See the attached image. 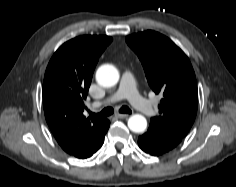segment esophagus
I'll return each mask as SVG.
<instances>
[{
  "label": "esophagus",
  "instance_id": "obj_1",
  "mask_svg": "<svg viewBox=\"0 0 236 187\" xmlns=\"http://www.w3.org/2000/svg\"><path fill=\"white\" fill-rule=\"evenodd\" d=\"M129 115L128 114H116L115 117L117 118H127Z\"/></svg>",
  "mask_w": 236,
  "mask_h": 187
}]
</instances>
